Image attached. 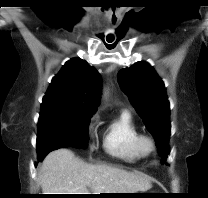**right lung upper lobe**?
Listing matches in <instances>:
<instances>
[{"mask_svg": "<svg viewBox=\"0 0 208 198\" xmlns=\"http://www.w3.org/2000/svg\"><path fill=\"white\" fill-rule=\"evenodd\" d=\"M101 77L85 60L65 63L43 97L41 111L68 109L93 114L101 93Z\"/></svg>", "mask_w": 208, "mask_h": 198, "instance_id": "right-lung-upper-lobe-1", "label": "right lung upper lobe"}]
</instances>
